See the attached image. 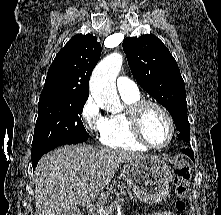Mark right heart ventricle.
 <instances>
[{
	"mask_svg": "<svg viewBox=\"0 0 221 215\" xmlns=\"http://www.w3.org/2000/svg\"><path fill=\"white\" fill-rule=\"evenodd\" d=\"M125 109L122 112L112 113L106 118L105 129L100 136L101 142L112 148L123 149L132 152H144L148 147L140 143L133 135L128 110L136 101L140 100V94H120Z\"/></svg>",
	"mask_w": 221,
	"mask_h": 215,
	"instance_id": "right-heart-ventricle-1",
	"label": "right heart ventricle"
}]
</instances>
